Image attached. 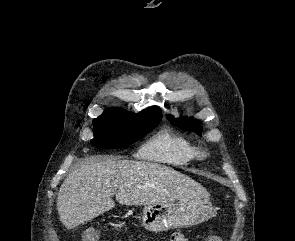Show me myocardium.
<instances>
[{"label":"myocardium","mask_w":295,"mask_h":241,"mask_svg":"<svg viewBox=\"0 0 295 241\" xmlns=\"http://www.w3.org/2000/svg\"><path fill=\"white\" fill-rule=\"evenodd\" d=\"M199 156H200L201 158H205V157L207 156V153H206V152H201V153L199 154Z\"/></svg>","instance_id":"obj_1"}]
</instances>
